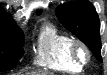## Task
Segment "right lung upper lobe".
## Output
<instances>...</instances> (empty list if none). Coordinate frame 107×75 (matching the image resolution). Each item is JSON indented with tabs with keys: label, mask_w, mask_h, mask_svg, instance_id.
I'll use <instances>...</instances> for the list:
<instances>
[{
	"label": "right lung upper lobe",
	"mask_w": 107,
	"mask_h": 75,
	"mask_svg": "<svg viewBox=\"0 0 107 75\" xmlns=\"http://www.w3.org/2000/svg\"><path fill=\"white\" fill-rule=\"evenodd\" d=\"M10 24H15L13 19L0 8V30Z\"/></svg>",
	"instance_id": "cb5924a9"
}]
</instances>
